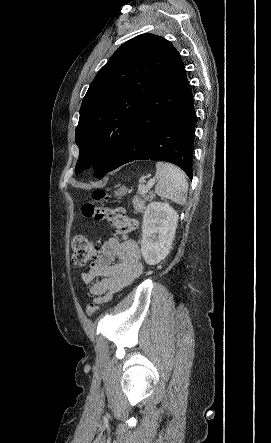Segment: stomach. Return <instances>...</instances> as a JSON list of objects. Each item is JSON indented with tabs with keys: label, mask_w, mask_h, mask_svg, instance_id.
I'll use <instances>...</instances> for the list:
<instances>
[{
	"label": "stomach",
	"mask_w": 271,
	"mask_h": 443,
	"mask_svg": "<svg viewBox=\"0 0 271 443\" xmlns=\"http://www.w3.org/2000/svg\"><path fill=\"white\" fill-rule=\"evenodd\" d=\"M127 192V188H125V186H122V188H119L118 192H116V196H125Z\"/></svg>",
	"instance_id": "obj_1"
}]
</instances>
